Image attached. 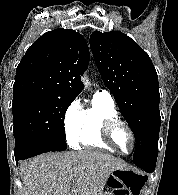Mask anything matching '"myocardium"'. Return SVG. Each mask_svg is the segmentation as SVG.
Here are the masks:
<instances>
[{"label": "myocardium", "instance_id": "f54148a6", "mask_svg": "<svg viewBox=\"0 0 178 195\" xmlns=\"http://www.w3.org/2000/svg\"><path fill=\"white\" fill-rule=\"evenodd\" d=\"M119 126L124 127L131 136L132 147L128 152H124L123 150L118 148L113 141L114 131ZM101 137H102L103 141L109 147H111L114 151L121 153V154H124V155L132 153L135 149V146H136V136H135L133 129L131 128V126L128 123H126L125 121H122L118 118H112V119L105 121V123L103 124V127H102Z\"/></svg>", "mask_w": 178, "mask_h": 195}]
</instances>
